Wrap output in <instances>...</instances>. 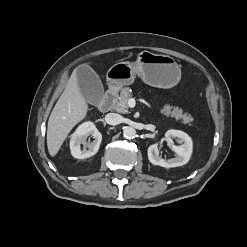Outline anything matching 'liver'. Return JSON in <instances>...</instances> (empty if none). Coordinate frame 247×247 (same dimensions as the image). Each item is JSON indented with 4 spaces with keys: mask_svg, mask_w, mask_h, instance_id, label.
Masks as SVG:
<instances>
[{
    "mask_svg": "<svg viewBox=\"0 0 247 247\" xmlns=\"http://www.w3.org/2000/svg\"><path fill=\"white\" fill-rule=\"evenodd\" d=\"M87 111L88 106L80 92L75 70L48 120L47 147L52 157L58 153L73 127L86 117Z\"/></svg>",
    "mask_w": 247,
    "mask_h": 247,
    "instance_id": "6515ba94",
    "label": "liver"
}]
</instances>
